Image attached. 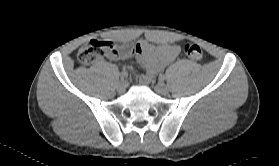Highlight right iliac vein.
Returning a JSON list of instances; mask_svg holds the SVG:
<instances>
[{
	"instance_id": "right-iliac-vein-1",
	"label": "right iliac vein",
	"mask_w": 279,
	"mask_h": 166,
	"mask_svg": "<svg viewBox=\"0 0 279 166\" xmlns=\"http://www.w3.org/2000/svg\"><path fill=\"white\" fill-rule=\"evenodd\" d=\"M126 87H127V82L124 81V80H120V81L117 83V86H116L117 91L120 92V93L124 92L125 89H126Z\"/></svg>"
}]
</instances>
